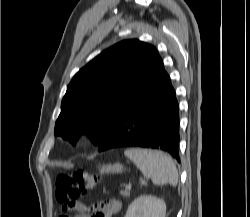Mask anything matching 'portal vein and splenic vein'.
Here are the masks:
<instances>
[{
    "label": "portal vein and splenic vein",
    "instance_id": "1",
    "mask_svg": "<svg viewBox=\"0 0 250 217\" xmlns=\"http://www.w3.org/2000/svg\"><path fill=\"white\" fill-rule=\"evenodd\" d=\"M145 183H146L145 181H143V180L141 181V184H145ZM126 188H127V189H130V188H131V186H130V185H128V186H126Z\"/></svg>",
    "mask_w": 250,
    "mask_h": 217
}]
</instances>
